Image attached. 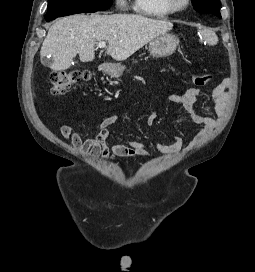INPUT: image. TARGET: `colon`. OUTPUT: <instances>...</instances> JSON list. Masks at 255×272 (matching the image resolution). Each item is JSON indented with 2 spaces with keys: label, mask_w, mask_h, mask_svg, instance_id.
Returning a JSON list of instances; mask_svg holds the SVG:
<instances>
[{
  "label": "colon",
  "mask_w": 255,
  "mask_h": 272,
  "mask_svg": "<svg viewBox=\"0 0 255 272\" xmlns=\"http://www.w3.org/2000/svg\"><path fill=\"white\" fill-rule=\"evenodd\" d=\"M89 78L90 73L87 71L66 70L55 72L49 77L50 91L53 95H61ZM212 78L211 74H197L193 77V83L196 86H204L210 83Z\"/></svg>",
  "instance_id": "5ec220e1"
}]
</instances>
